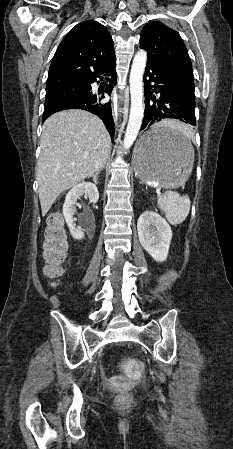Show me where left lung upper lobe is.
Segmentation results:
<instances>
[{"label":"left lung upper lobe","instance_id":"obj_1","mask_svg":"<svg viewBox=\"0 0 233 449\" xmlns=\"http://www.w3.org/2000/svg\"><path fill=\"white\" fill-rule=\"evenodd\" d=\"M140 47L147 51L148 61L194 86L191 60L178 32L158 21L150 22L142 29Z\"/></svg>","mask_w":233,"mask_h":449}]
</instances>
